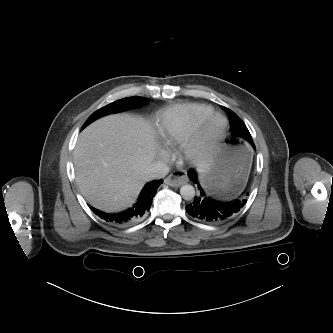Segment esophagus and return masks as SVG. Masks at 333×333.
Segmentation results:
<instances>
[{"mask_svg":"<svg viewBox=\"0 0 333 333\" xmlns=\"http://www.w3.org/2000/svg\"><path fill=\"white\" fill-rule=\"evenodd\" d=\"M164 182L172 187H179L185 182H187V177L183 172H176L171 176L167 177Z\"/></svg>","mask_w":333,"mask_h":333,"instance_id":"obj_1","label":"esophagus"}]
</instances>
